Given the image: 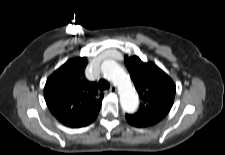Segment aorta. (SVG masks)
Segmentation results:
<instances>
[{"mask_svg":"<svg viewBox=\"0 0 225 155\" xmlns=\"http://www.w3.org/2000/svg\"><path fill=\"white\" fill-rule=\"evenodd\" d=\"M101 72L105 78L117 86L123 111L135 112L139 106L138 95L123 68L114 60H105L101 64Z\"/></svg>","mask_w":225,"mask_h":155,"instance_id":"762f6f07","label":"aorta"}]
</instances>
